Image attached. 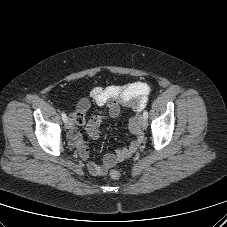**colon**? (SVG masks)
Returning a JSON list of instances; mask_svg holds the SVG:
<instances>
[{"label":"colon","mask_w":227,"mask_h":227,"mask_svg":"<svg viewBox=\"0 0 227 227\" xmlns=\"http://www.w3.org/2000/svg\"><path fill=\"white\" fill-rule=\"evenodd\" d=\"M109 176H110L111 179L117 180L121 177V173L117 169H112L109 173Z\"/></svg>","instance_id":"5ec220e1"}]
</instances>
